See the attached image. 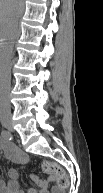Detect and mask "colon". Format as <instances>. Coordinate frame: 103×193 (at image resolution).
Segmentation results:
<instances>
[{
  "label": "colon",
  "instance_id": "1",
  "mask_svg": "<svg viewBox=\"0 0 103 193\" xmlns=\"http://www.w3.org/2000/svg\"><path fill=\"white\" fill-rule=\"evenodd\" d=\"M45 173L55 176L59 186L66 188L68 186V176L66 171L54 162L45 161L42 164Z\"/></svg>",
  "mask_w": 103,
  "mask_h": 193
}]
</instances>
